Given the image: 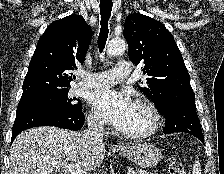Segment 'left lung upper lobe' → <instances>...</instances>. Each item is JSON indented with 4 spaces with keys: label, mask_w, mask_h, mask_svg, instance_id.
<instances>
[{
    "label": "left lung upper lobe",
    "mask_w": 224,
    "mask_h": 174,
    "mask_svg": "<svg viewBox=\"0 0 224 174\" xmlns=\"http://www.w3.org/2000/svg\"><path fill=\"white\" fill-rule=\"evenodd\" d=\"M124 37L130 60L135 65H143V73L148 75L140 90L159 111L171 98H195L183 57L161 22L142 14H131L126 18Z\"/></svg>",
    "instance_id": "obj_1"
}]
</instances>
